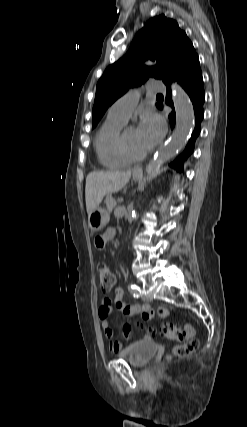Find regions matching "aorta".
<instances>
[{"instance_id": "1", "label": "aorta", "mask_w": 247, "mask_h": 427, "mask_svg": "<svg viewBox=\"0 0 247 427\" xmlns=\"http://www.w3.org/2000/svg\"><path fill=\"white\" fill-rule=\"evenodd\" d=\"M172 92L176 128L167 144L157 151L153 162L149 165L150 170H158L165 161L175 156L184 147L195 126L193 105L186 92L176 82L172 83Z\"/></svg>"}]
</instances>
